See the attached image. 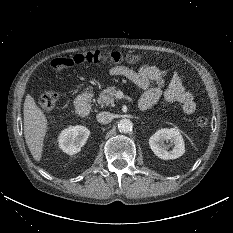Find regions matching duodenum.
<instances>
[{"instance_id":"1","label":"duodenum","mask_w":233,"mask_h":233,"mask_svg":"<svg viewBox=\"0 0 233 233\" xmlns=\"http://www.w3.org/2000/svg\"><path fill=\"white\" fill-rule=\"evenodd\" d=\"M93 101V94L91 91H84L80 93L74 103V112L76 115L84 117L87 116L91 110Z\"/></svg>"}]
</instances>
